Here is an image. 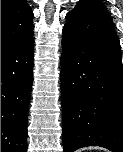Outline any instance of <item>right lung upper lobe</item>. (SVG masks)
Masks as SVG:
<instances>
[{"label":"right lung upper lobe","instance_id":"1","mask_svg":"<svg viewBox=\"0 0 123 152\" xmlns=\"http://www.w3.org/2000/svg\"><path fill=\"white\" fill-rule=\"evenodd\" d=\"M33 16L25 0H1V45L34 33Z\"/></svg>","mask_w":123,"mask_h":152}]
</instances>
